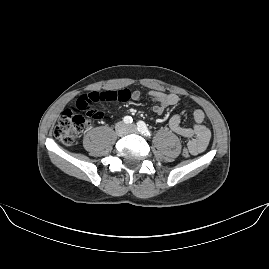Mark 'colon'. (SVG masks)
<instances>
[{"mask_svg":"<svg viewBox=\"0 0 269 269\" xmlns=\"http://www.w3.org/2000/svg\"><path fill=\"white\" fill-rule=\"evenodd\" d=\"M130 93L127 90L109 91L103 94L82 93L79 96L76 108L64 110L56 123L54 134L56 138L64 144H74L76 139L86 131L93 123L102 117V112L96 108L101 106V102L113 101L129 98ZM86 112L83 116L80 112ZM180 155L189 157V150L182 147L179 150Z\"/></svg>","mask_w":269,"mask_h":269,"instance_id":"colon-1","label":"colon"}]
</instances>
